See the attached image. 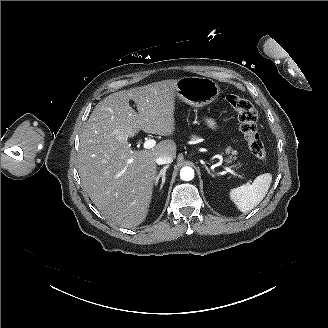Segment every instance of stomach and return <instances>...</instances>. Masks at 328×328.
<instances>
[{"label": "stomach", "instance_id": "0dacf381", "mask_svg": "<svg viewBox=\"0 0 328 328\" xmlns=\"http://www.w3.org/2000/svg\"><path fill=\"white\" fill-rule=\"evenodd\" d=\"M176 95L193 107H203L216 100L220 94L218 84L211 78L182 77L176 81Z\"/></svg>", "mask_w": 328, "mask_h": 328}]
</instances>
